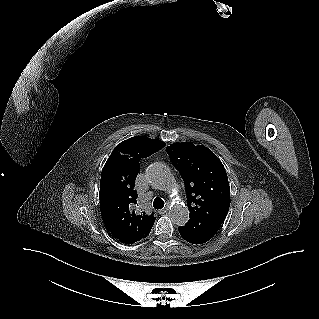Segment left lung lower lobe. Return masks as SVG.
I'll use <instances>...</instances> for the list:
<instances>
[{
  "label": "left lung lower lobe",
  "instance_id": "0a47b994",
  "mask_svg": "<svg viewBox=\"0 0 319 319\" xmlns=\"http://www.w3.org/2000/svg\"><path fill=\"white\" fill-rule=\"evenodd\" d=\"M220 226L214 222L189 219L184 226H179V233L189 243L202 244L210 240Z\"/></svg>",
  "mask_w": 319,
  "mask_h": 319
}]
</instances>
